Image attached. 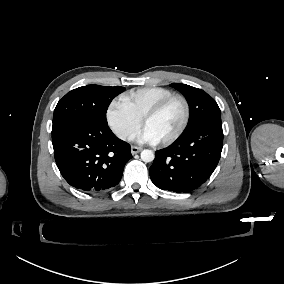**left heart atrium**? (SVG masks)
I'll use <instances>...</instances> for the list:
<instances>
[{
  "mask_svg": "<svg viewBox=\"0 0 284 284\" xmlns=\"http://www.w3.org/2000/svg\"><path fill=\"white\" fill-rule=\"evenodd\" d=\"M132 140L137 143H147V144H154L157 143V139L151 133V131L145 127L138 130L133 136Z\"/></svg>",
  "mask_w": 284,
  "mask_h": 284,
  "instance_id": "39dd6f15",
  "label": "left heart atrium"
}]
</instances>
